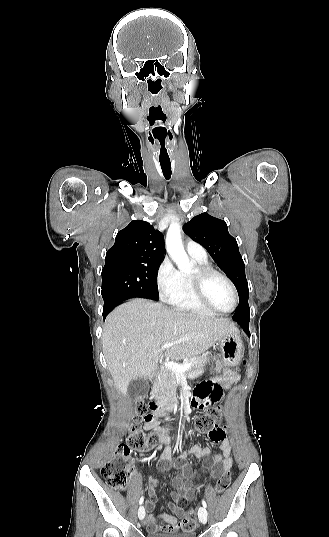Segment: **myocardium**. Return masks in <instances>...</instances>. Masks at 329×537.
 Here are the masks:
<instances>
[{
    "label": "myocardium",
    "mask_w": 329,
    "mask_h": 537,
    "mask_svg": "<svg viewBox=\"0 0 329 537\" xmlns=\"http://www.w3.org/2000/svg\"><path fill=\"white\" fill-rule=\"evenodd\" d=\"M213 276L219 277L222 280H224L228 284V286L230 287L233 293L234 302H233L232 308L229 311H221L217 309L211 304V302L207 298V295L205 292V283L210 277H213ZM188 278L190 281L193 294L195 295L197 300L207 309H209L210 311L216 312L218 314H223V315L231 314L232 312L236 310L238 303H239L238 291L234 283L231 281V279L227 277L225 274H223L222 272L208 265H198L195 268L194 272L191 275H189Z\"/></svg>",
    "instance_id": "myocardium-1"
}]
</instances>
